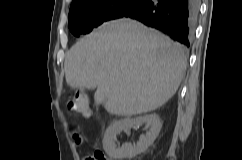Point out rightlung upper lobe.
Returning a JSON list of instances; mask_svg holds the SVG:
<instances>
[{"label":"right lung upper lobe","instance_id":"obj_1","mask_svg":"<svg viewBox=\"0 0 242 160\" xmlns=\"http://www.w3.org/2000/svg\"><path fill=\"white\" fill-rule=\"evenodd\" d=\"M81 1H83V0H73L71 6L77 4V3L81 2Z\"/></svg>","mask_w":242,"mask_h":160}]
</instances>
